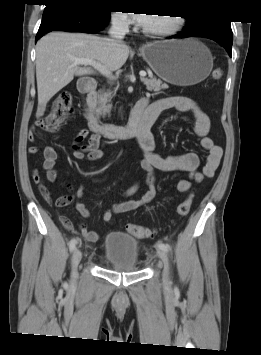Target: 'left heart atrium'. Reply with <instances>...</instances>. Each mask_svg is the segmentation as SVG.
Here are the masks:
<instances>
[{
	"instance_id": "obj_1",
	"label": "left heart atrium",
	"mask_w": 261,
	"mask_h": 355,
	"mask_svg": "<svg viewBox=\"0 0 261 355\" xmlns=\"http://www.w3.org/2000/svg\"><path fill=\"white\" fill-rule=\"evenodd\" d=\"M150 15H147L145 13H136V14H132L131 17V21L134 23H137L138 25L144 26L148 20Z\"/></svg>"
}]
</instances>
